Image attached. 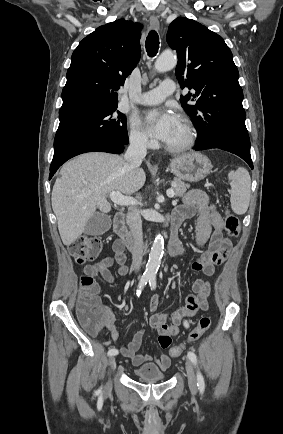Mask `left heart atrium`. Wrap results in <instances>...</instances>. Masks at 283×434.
<instances>
[{
	"label": "left heart atrium",
	"mask_w": 283,
	"mask_h": 434,
	"mask_svg": "<svg viewBox=\"0 0 283 434\" xmlns=\"http://www.w3.org/2000/svg\"><path fill=\"white\" fill-rule=\"evenodd\" d=\"M179 117L169 109L152 110L146 115L148 132L155 138L167 142L174 134Z\"/></svg>",
	"instance_id": "39dd6f15"
}]
</instances>
